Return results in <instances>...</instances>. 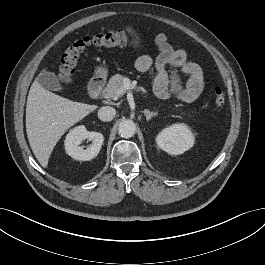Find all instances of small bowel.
I'll list each match as a JSON object with an SVG mask.
<instances>
[{
	"label": "small bowel",
	"instance_id": "1",
	"mask_svg": "<svg viewBox=\"0 0 265 265\" xmlns=\"http://www.w3.org/2000/svg\"><path fill=\"white\" fill-rule=\"evenodd\" d=\"M134 27L127 26V31H132ZM155 43L159 54L155 60L149 55H141L135 61V67L140 72H147L151 68L155 69L154 90L161 99L171 96L183 102H192L201 94L204 87V74L201 67L187 59L184 49L173 48L164 33H159L155 37ZM140 39L135 34L132 39V47L137 50L140 47ZM170 69H180L188 76L186 84H183L176 73Z\"/></svg>",
	"mask_w": 265,
	"mask_h": 265
}]
</instances>
